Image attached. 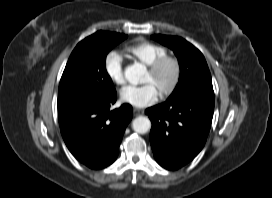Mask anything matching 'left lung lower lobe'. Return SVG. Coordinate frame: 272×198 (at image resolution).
I'll list each match as a JSON object with an SVG mask.
<instances>
[{"label": "left lung lower lobe", "mask_w": 272, "mask_h": 198, "mask_svg": "<svg viewBox=\"0 0 272 198\" xmlns=\"http://www.w3.org/2000/svg\"><path fill=\"white\" fill-rule=\"evenodd\" d=\"M214 93L193 92L146 109L152 122L150 142L156 161L181 168L204 147L213 117Z\"/></svg>", "instance_id": "0a47b994"}]
</instances>
